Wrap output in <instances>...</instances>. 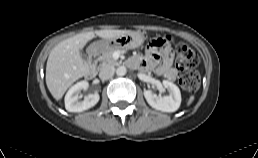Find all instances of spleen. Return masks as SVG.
Here are the masks:
<instances>
[{
    "instance_id": "1",
    "label": "spleen",
    "mask_w": 258,
    "mask_h": 158,
    "mask_svg": "<svg viewBox=\"0 0 258 158\" xmlns=\"http://www.w3.org/2000/svg\"><path fill=\"white\" fill-rule=\"evenodd\" d=\"M194 96L192 95V96H190V98H189V100H188V102H187V105H190L193 101H194Z\"/></svg>"
}]
</instances>
